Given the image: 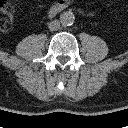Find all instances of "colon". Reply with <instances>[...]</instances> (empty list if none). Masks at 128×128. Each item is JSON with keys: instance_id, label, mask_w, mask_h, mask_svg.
<instances>
[{"instance_id": "colon-1", "label": "colon", "mask_w": 128, "mask_h": 128, "mask_svg": "<svg viewBox=\"0 0 128 128\" xmlns=\"http://www.w3.org/2000/svg\"><path fill=\"white\" fill-rule=\"evenodd\" d=\"M12 28V12L10 6L0 0V32H8Z\"/></svg>"}]
</instances>
